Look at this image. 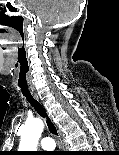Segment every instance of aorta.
<instances>
[{"instance_id": "1", "label": "aorta", "mask_w": 119, "mask_h": 155, "mask_svg": "<svg viewBox=\"0 0 119 155\" xmlns=\"http://www.w3.org/2000/svg\"><path fill=\"white\" fill-rule=\"evenodd\" d=\"M43 128V121L39 118L26 121L25 125L22 126L20 151H36Z\"/></svg>"}]
</instances>
